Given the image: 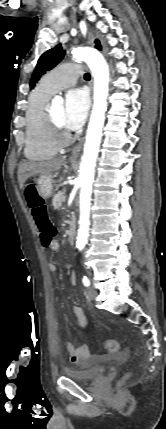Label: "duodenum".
Listing matches in <instances>:
<instances>
[{
  "mask_svg": "<svg viewBox=\"0 0 166 429\" xmlns=\"http://www.w3.org/2000/svg\"><path fill=\"white\" fill-rule=\"evenodd\" d=\"M75 234H76V223L74 218H71L69 220V227L67 231V239L70 244H73L75 241Z\"/></svg>",
  "mask_w": 166,
  "mask_h": 429,
  "instance_id": "obj_1",
  "label": "duodenum"
}]
</instances>
